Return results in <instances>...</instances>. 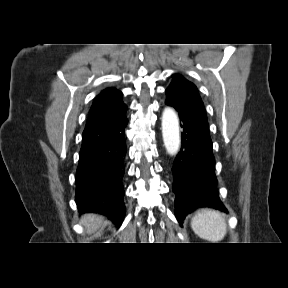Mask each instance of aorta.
Wrapping results in <instances>:
<instances>
[{
  "instance_id": "1",
  "label": "aorta",
  "mask_w": 288,
  "mask_h": 288,
  "mask_svg": "<svg viewBox=\"0 0 288 288\" xmlns=\"http://www.w3.org/2000/svg\"><path fill=\"white\" fill-rule=\"evenodd\" d=\"M162 136L167 153L177 154L181 143L179 120L176 112L171 108H165L162 114Z\"/></svg>"
}]
</instances>
